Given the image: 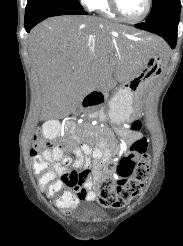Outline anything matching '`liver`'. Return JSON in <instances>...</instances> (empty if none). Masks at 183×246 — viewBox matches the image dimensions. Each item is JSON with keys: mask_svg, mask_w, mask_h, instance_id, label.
I'll return each mask as SVG.
<instances>
[{"mask_svg": "<svg viewBox=\"0 0 183 246\" xmlns=\"http://www.w3.org/2000/svg\"><path fill=\"white\" fill-rule=\"evenodd\" d=\"M129 34L150 41L157 52L165 46L152 35L92 16L53 17L32 29V67L56 116L69 115L89 93L110 90L143 69L145 57L125 39Z\"/></svg>", "mask_w": 183, "mask_h": 246, "instance_id": "obj_1", "label": "liver"}]
</instances>
